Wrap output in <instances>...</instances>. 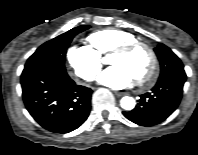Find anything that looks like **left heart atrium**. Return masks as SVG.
Here are the masks:
<instances>
[{
	"label": "left heart atrium",
	"mask_w": 198,
	"mask_h": 155,
	"mask_svg": "<svg viewBox=\"0 0 198 155\" xmlns=\"http://www.w3.org/2000/svg\"><path fill=\"white\" fill-rule=\"evenodd\" d=\"M98 81L112 89H123L132 85L135 78L126 68L120 65H113L98 77Z\"/></svg>",
	"instance_id": "obj_1"
}]
</instances>
